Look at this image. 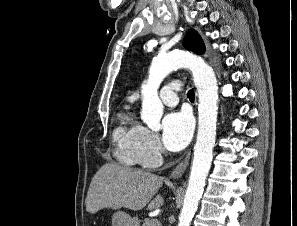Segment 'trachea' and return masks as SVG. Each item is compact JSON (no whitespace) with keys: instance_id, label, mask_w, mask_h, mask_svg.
Wrapping results in <instances>:
<instances>
[{"instance_id":"trachea-1","label":"trachea","mask_w":297,"mask_h":226,"mask_svg":"<svg viewBox=\"0 0 297 226\" xmlns=\"http://www.w3.org/2000/svg\"><path fill=\"white\" fill-rule=\"evenodd\" d=\"M194 97H195V94H194V90L191 89L188 91V98L190 101H194Z\"/></svg>"}]
</instances>
